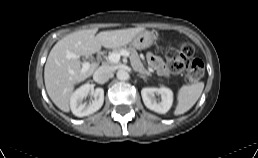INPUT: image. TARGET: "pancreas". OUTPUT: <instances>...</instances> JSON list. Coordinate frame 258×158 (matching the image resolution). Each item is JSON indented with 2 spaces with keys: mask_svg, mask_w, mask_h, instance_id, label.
<instances>
[{
  "mask_svg": "<svg viewBox=\"0 0 258 158\" xmlns=\"http://www.w3.org/2000/svg\"><path fill=\"white\" fill-rule=\"evenodd\" d=\"M123 50L129 52V59L135 71H137L140 75H143V76L151 75V73L148 70H146L145 67L143 66V63L141 62L140 57L134 48L132 47L127 48L126 46H124L121 48L114 49L112 53H120Z\"/></svg>",
  "mask_w": 258,
  "mask_h": 158,
  "instance_id": "pancreas-1",
  "label": "pancreas"
}]
</instances>
